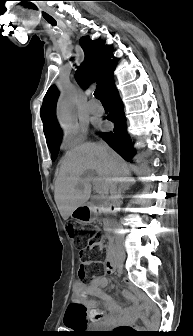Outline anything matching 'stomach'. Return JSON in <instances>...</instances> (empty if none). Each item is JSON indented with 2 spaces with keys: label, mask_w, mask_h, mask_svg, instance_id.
I'll return each mask as SVG.
<instances>
[{
  "label": "stomach",
  "mask_w": 193,
  "mask_h": 336,
  "mask_svg": "<svg viewBox=\"0 0 193 336\" xmlns=\"http://www.w3.org/2000/svg\"><path fill=\"white\" fill-rule=\"evenodd\" d=\"M71 217L81 224H89L94 221L93 210L86 205L76 208L72 212Z\"/></svg>",
  "instance_id": "1"
}]
</instances>
